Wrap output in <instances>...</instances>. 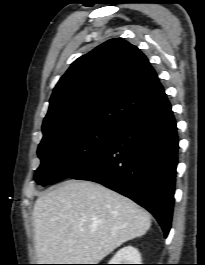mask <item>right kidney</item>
I'll use <instances>...</instances> for the list:
<instances>
[{
    "label": "right kidney",
    "instance_id": "obj_1",
    "mask_svg": "<svg viewBox=\"0 0 205 265\" xmlns=\"http://www.w3.org/2000/svg\"><path fill=\"white\" fill-rule=\"evenodd\" d=\"M109 264H141V255L136 248L126 246L114 255Z\"/></svg>",
    "mask_w": 205,
    "mask_h": 265
}]
</instances>
